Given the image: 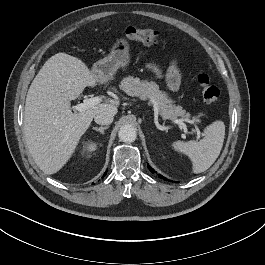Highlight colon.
<instances>
[{
  "label": "colon",
  "instance_id": "1",
  "mask_svg": "<svg viewBox=\"0 0 265 265\" xmlns=\"http://www.w3.org/2000/svg\"><path fill=\"white\" fill-rule=\"evenodd\" d=\"M126 37L131 41L141 42L144 44H155L158 41L159 33L153 29H142L137 27H128L125 30ZM198 82L201 86L202 97L207 104H217L221 99L220 90L211 84L210 78L205 73H200Z\"/></svg>",
  "mask_w": 265,
  "mask_h": 265
}]
</instances>
